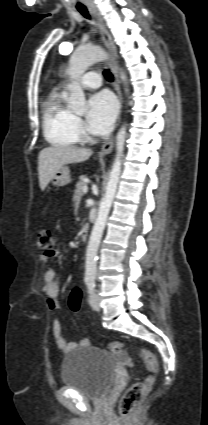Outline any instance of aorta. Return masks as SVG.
Masks as SVG:
<instances>
[{
    "instance_id": "762f6f07",
    "label": "aorta",
    "mask_w": 208,
    "mask_h": 425,
    "mask_svg": "<svg viewBox=\"0 0 208 425\" xmlns=\"http://www.w3.org/2000/svg\"><path fill=\"white\" fill-rule=\"evenodd\" d=\"M106 58V52L102 48L96 46L81 47L76 49L72 54L69 61V68L67 70L71 83L67 88L70 92L68 105L74 112L82 113L85 106V94L79 83L81 76L90 65ZM120 78L127 87V76L123 70H120ZM125 90L128 92L127 88ZM125 138L126 124L120 128L116 136V158L112 165L106 186V192L100 202L98 215L88 242L85 264L86 280H94L96 276L98 248L120 179L121 159L124 151Z\"/></svg>"
}]
</instances>
